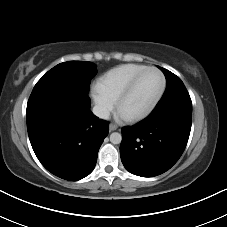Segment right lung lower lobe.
I'll return each mask as SVG.
<instances>
[{"label": "right lung lower lobe", "mask_w": 227, "mask_h": 227, "mask_svg": "<svg viewBox=\"0 0 227 227\" xmlns=\"http://www.w3.org/2000/svg\"><path fill=\"white\" fill-rule=\"evenodd\" d=\"M29 139L41 164L69 181L89 175L108 125L90 110L88 95L64 93L27 108Z\"/></svg>", "instance_id": "98d812e1"}]
</instances>
